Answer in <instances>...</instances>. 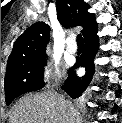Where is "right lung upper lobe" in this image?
<instances>
[{"label": "right lung upper lobe", "mask_w": 122, "mask_h": 123, "mask_svg": "<svg viewBox=\"0 0 122 123\" xmlns=\"http://www.w3.org/2000/svg\"><path fill=\"white\" fill-rule=\"evenodd\" d=\"M88 4L83 0H57L58 20L62 26L69 28L82 26L84 38L98 29L95 15L88 12ZM50 27L44 22L31 25L15 42L8 58L7 68L20 64L30 58L46 54Z\"/></svg>", "instance_id": "obj_1"}]
</instances>
